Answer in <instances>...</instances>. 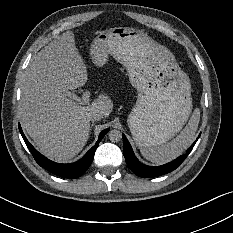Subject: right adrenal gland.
I'll list each match as a JSON object with an SVG mask.
<instances>
[{"mask_svg":"<svg viewBox=\"0 0 233 233\" xmlns=\"http://www.w3.org/2000/svg\"><path fill=\"white\" fill-rule=\"evenodd\" d=\"M94 126V123L91 124V127H90V134H91V130H92V127Z\"/></svg>","mask_w":233,"mask_h":233,"instance_id":"right-adrenal-gland-1","label":"right adrenal gland"}]
</instances>
